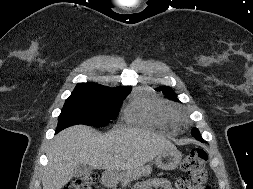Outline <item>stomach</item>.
Returning <instances> with one entry per match:
<instances>
[{
  "mask_svg": "<svg viewBox=\"0 0 253 189\" xmlns=\"http://www.w3.org/2000/svg\"><path fill=\"white\" fill-rule=\"evenodd\" d=\"M182 154L177 149L165 150L155 157V164L162 170H174L178 167ZM125 175L116 171H108L103 175V182L107 185L122 181Z\"/></svg>",
  "mask_w": 253,
  "mask_h": 189,
  "instance_id": "obj_1",
  "label": "stomach"
}]
</instances>
